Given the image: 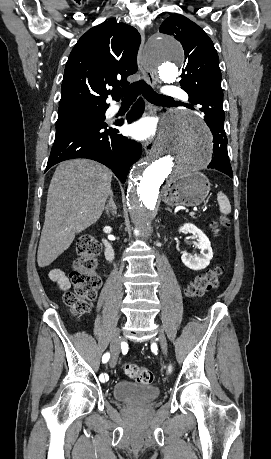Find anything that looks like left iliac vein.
<instances>
[{
    "label": "left iliac vein",
    "instance_id": "1",
    "mask_svg": "<svg viewBox=\"0 0 271 459\" xmlns=\"http://www.w3.org/2000/svg\"><path fill=\"white\" fill-rule=\"evenodd\" d=\"M158 338H159V341L161 343V350H162V354L164 357L167 356V352H168V347H167V342H166V338H165V335L163 333V330H160L159 334H158Z\"/></svg>",
    "mask_w": 271,
    "mask_h": 459
}]
</instances>
